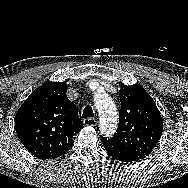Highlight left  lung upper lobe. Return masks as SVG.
<instances>
[{
	"mask_svg": "<svg viewBox=\"0 0 188 188\" xmlns=\"http://www.w3.org/2000/svg\"><path fill=\"white\" fill-rule=\"evenodd\" d=\"M119 97V125L116 133L108 140L143 159L151 153L161 137V115L154 100L139 85L121 84Z\"/></svg>",
	"mask_w": 188,
	"mask_h": 188,
	"instance_id": "left-lung-upper-lobe-1",
	"label": "left lung upper lobe"
}]
</instances>
